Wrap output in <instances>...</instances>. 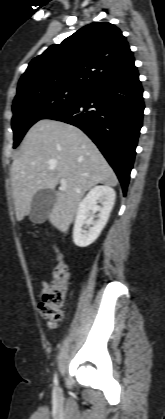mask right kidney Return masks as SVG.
I'll return each mask as SVG.
<instances>
[{"instance_id":"ca27d5eb","label":"right kidney","mask_w":165,"mask_h":419,"mask_svg":"<svg viewBox=\"0 0 165 419\" xmlns=\"http://www.w3.org/2000/svg\"><path fill=\"white\" fill-rule=\"evenodd\" d=\"M115 198L114 189L103 185L92 188L80 202L73 228V241L77 246L87 247L99 237L113 209ZM97 212L98 220L94 221V214ZM84 225L92 227L85 231Z\"/></svg>"}]
</instances>
